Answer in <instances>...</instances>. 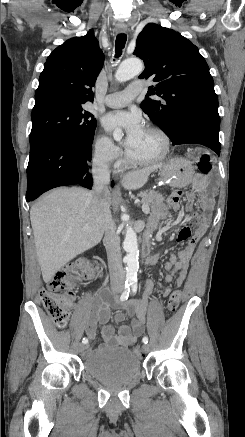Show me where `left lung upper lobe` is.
Returning a JSON list of instances; mask_svg holds the SVG:
<instances>
[{"label": "left lung upper lobe", "mask_w": 245, "mask_h": 437, "mask_svg": "<svg viewBox=\"0 0 245 437\" xmlns=\"http://www.w3.org/2000/svg\"><path fill=\"white\" fill-rule=\"evenodd\" d=\"M134 55L145 63L140 79L153 78L141 109L173 142L192 121L220 126L213 78L198 48L180 33L154 23L139 34ZM157 95L161 99H150Z\"/></svg>", "instance_id": "left-lung-upper-lobe-1"}]
</instances>
